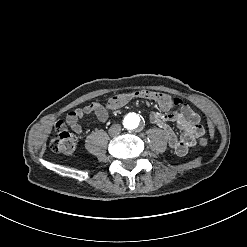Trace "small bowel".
Instances as JSON below:
<instances>
[{"label": "small bowel", "instance_id": "obj_1", "mask_svg": "<svg viewBox=\"0 0 247 247\" xmlns=\"http://www.w3.org/2000/svg\"><path fill=\"white\" fill-rule=\"evenodd\" d=\"M178 106L180 107L178 112L160 109V111L152 112L149 119L152 124L165 132L169 146L175 154L184 157L189 149L196 145L197 139L204 134V130L200 125L199 115L188 104L180 102ZM107 108H110L108 103L103 102H94L76 108L68 113L66 123L75 133L81 134L83 127L80 120L86 115L94 114L99 122L104 123L108 119ZM170 124L177 126L182 132L180 136L175 133Z\"/></svg>", "mask_w": 247, "mask_h": 247}]
</instances>
